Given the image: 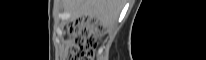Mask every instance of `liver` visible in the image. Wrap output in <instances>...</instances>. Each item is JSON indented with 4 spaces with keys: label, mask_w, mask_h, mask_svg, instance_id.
<instances>
[{
    "label": "liver",
    "mask_w": 206,
    "mask_h": 60,
    "mask_svg": "<svg viewBox=\"0 0 206 60\" xmlns=\"http://www.w3.org/2000/svg\"><path fill=\"white\" fill-rule=\"evenodd\" d=\"M65 7L73 19H96L104 28L110 27L122 9V0H65Z\"/></svg>",
    "instance_id": "liver-1"
}]
</instances>
